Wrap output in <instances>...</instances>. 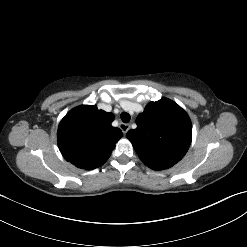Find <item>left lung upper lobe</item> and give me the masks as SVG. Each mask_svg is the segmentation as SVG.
Segmentation results:
<instances>
[{
    "instance_id": "1",
    "label": "left lung upper lobe",
    "mask_w": 247,
    "mask_h": 247,
    "mask_svg": "<svg viewBox=\"0 0 247 247\" xmlns=\"http://www.w3.org/2000/svg\"><path fill=\"white\" fill-rule=\"evenodd\" d=\"M129 130L141 161L153 170L168 169L187 153L192 140V124L187 113L175 102L162 98L151 102Z\"/></svg>"
}]
</instances>
